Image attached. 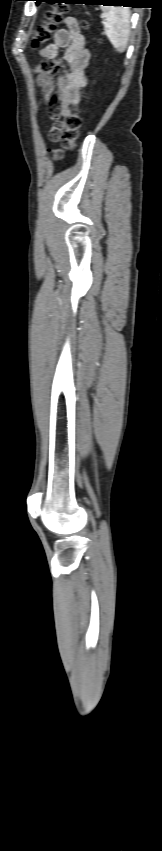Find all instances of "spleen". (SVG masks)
Segmentation results:
<instances>
[{"label":"spleen","mask_w":162,"mask_h":851,"mask_svg":"<svg viewBox=\"0 0 162 851\" xmlns=\"http://www.w3.org/2000/svg\"><path fill=\"white\" fill-rule=\"evenodd\" d=\"M106 19L104 29L113 47L120 53L124 52L130 33V13L128 8L102 7Z\"/></svg>","instance_id":"spleen-1"}]
</instances>
